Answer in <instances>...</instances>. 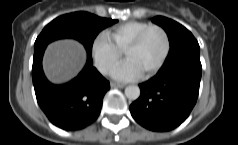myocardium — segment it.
<instances>
[{"mask_svg":"<svg viewBox=\"0 0 238 145\" xmlns=\"http://www.w3.org/2000/svg\"><path fill=\"white\" fill-rule=\"evenodd\" d=\"M159 30L164 38V49L162 52V55L160 57V59L158 60V62L146 73L142 74L143 77L148 78L151 77L152 75H154L165 63L169 52H170V38H169V34L166 31V29L160 25L157 24H153V25H149L147 28H145L144 30H142L130 43L129 45L126 47V49L124 50V56H126V54L134 49H136L144 40V38L147 36V34L152 31V30Z\"/></svg>","mask_w":238,"mask_h":145,"instance_id":"obj_1","label":"myocardium"}]
</instances>
